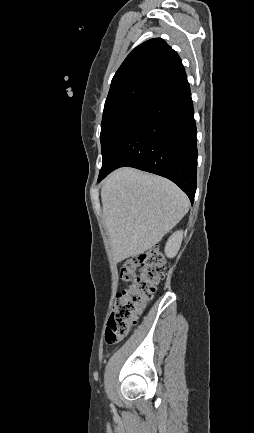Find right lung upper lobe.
Masks as SVG:
<instances>
[{
  "mask_svg": "<svg viewBox=\"0 0 254 433\" xmlns=\"http://www.w3.org/2000/svg\"><path fill=\"white\" fill-rule=\"evenodd\" d=\"M182 72L180 57L163 39L145 41L115 73L104 108L125 100H148Z\"/></svg>",
  "mask_w": 254,
  "mask_h": 433,
  "instance_id": "1",
  "label": "right lung upper lobe"
}]
</instances>
